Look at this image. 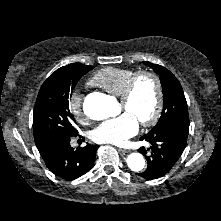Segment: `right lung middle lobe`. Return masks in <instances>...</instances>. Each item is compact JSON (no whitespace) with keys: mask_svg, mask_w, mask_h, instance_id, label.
Wrapping results in <instances>:
<instances>
[{"mask_svg":"<svg viewBox=\"0 0 221 221\" xmlns=\"http://www.w3.org/2000/svg\"><path fill=\"white\" fill-rule=\"evenodd\" d=\"M94 66L72 63L53 72L43 83L33 112V135L38 141L49 136H76L69 100L79 79Z\"/></svg>","mask_w":221,"mask_h":221,"instance_id":"right-lung-middle-lobe-1","label":"right lung middle lobe"}]
</instances>
